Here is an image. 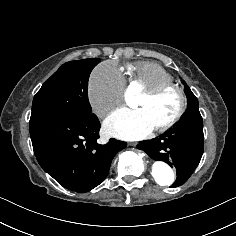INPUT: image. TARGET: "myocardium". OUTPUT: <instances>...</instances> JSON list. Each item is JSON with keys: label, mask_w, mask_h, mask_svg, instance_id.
I'll return each mask as SVG.
<instances>
[{"label": "myocardium", "mask_w": 236, "mask_h": 236, "mask_svg": "<svg viewBox=\"0 0 236 236\" xmlns=\"http://www.w3.org/2000/svg\"><path fill=\"white\" fill-rule=\"evenodd\" d=\"M167 92H173L177 96L178 109L174 114V116L169 121H167L164 125L153 129V131L157 134H163L168 132L183 119L188 106V99L186 92L182 87H180L175 83H164L142 92V94L148 100H155Z\"/></svg>", "instance_id": "obj_1"}]
</instances>
